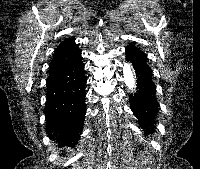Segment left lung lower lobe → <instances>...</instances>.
Returning <instances> with one entry per match:
<instances>
[{
  "label": "left lung lower lobe",
  "mask_w": 200,
  "mask_h": 169,
  "mask_svg": "<svg viewBox=\"0 0 200 169\" xmlns=\"http://www.w3.org/2000/svg\"><path fill=\"white\" fill-rule=\"evenodd\" d=\"M125 52L137 76V93L130 97L131 110L139 119L142 128H146L145 134H149L155 128L154 118L158 107L151 69L147 64V56L141 50L129 45Z\"/></svg>",
  "instance_id": "left-lung-lower-lobe-1"
}]
</instances>
